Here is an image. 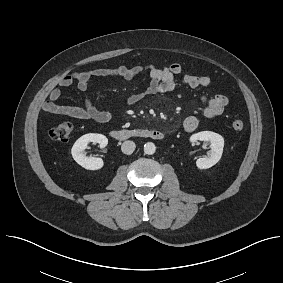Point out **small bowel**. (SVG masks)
Here are the masks:
<instances>
[{"label": "small bowel", "instance_id": "c3829d8e", "mask_svg": "<svg viewBox=\"0 0 283 283\" xmlns=\"http://www.w3.org/2000/svg\"><path fill=\"white\" fill-rule=\"evenodd\" d=\"M146 71L150 77L148 86L140 92L130 95L126 101L128 106L137 104L144 96L161 94L172 91L176 87V77L182 75L183 68L179 63H172L169 66L158 67L154 64L125 66L121 65L114 68H97L91 71L74 72L65 75L54 87L48 100L43 105V110L50 114L65 115L72 118L94 120L96 122H108L112 114L109 111L99 110L93 103L91 97L87 94L91 81L98 78H122L133 79L142 72ZM182 82L189 88H208L211 85V79L206 75L185 74ZM76 84L77 88L86 93L82 107L60 105L57 103L61 97V89L68 88ZM202 100L206 106L203 110L205 118H215L220 116L228 105V98L224 94H214L212 96H203ZM199 120L196 116H188L183 121V127L186 131L192 132L197 129Z\"/></svg>", "mask_w": 283, "mask_h": 283}]
</instances>
